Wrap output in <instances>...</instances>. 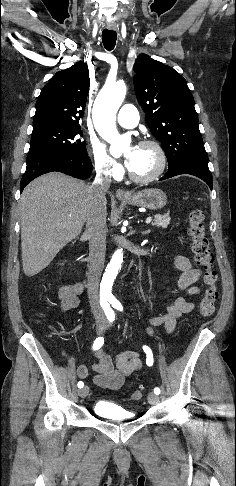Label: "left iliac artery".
Masks as SVG:
<instances>
[{"mask_svg": "<svg viewBox=\"0 0 236 486\" xmlns=\"http://www.w3.org/2000/svg\"><path fill=\"white\" fill-rule=\"evenodd\" d=\"M109 302L112 304V306L115 309H117L119 311H122L123 310V307H122L121 303L118 302L117 300L111 299V300H109ZM143 350H144V352L147 355L146 364L148 366H152L153 365V354H152L151 349L148 346H143ZM154 393L157 394V395H159L160 394V389L158 387L154 388Z\"/></svg>", "mask_w": 236, "mask_h": 486, "instance_id": "obj_1", "label": "left iliac artery"}]
</instances>
